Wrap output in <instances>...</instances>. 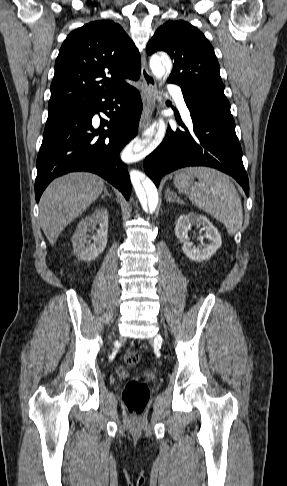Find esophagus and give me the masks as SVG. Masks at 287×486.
Instances as JSON below:
<instances>
[{
    "mask_svg": "<svg viewBox=\"0 0 287 486\" xmlns=\"http://www.w3.org/2000/svg\"><path fill=\"white\" fill-rule=\"evenodd\" d=\"M141 64V77L143 81L141 96L143 102V111L139 123V130L145 129L150 124L156 101V81L154 76L147 68L146 56L144 52L142 53Z\"/></svg>",
    "mask_w": 287,
    "mask_h": 486,
    "instance_id": "1",
    "label": "esophagus"
}]
</instances>
